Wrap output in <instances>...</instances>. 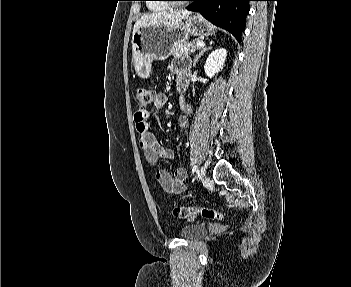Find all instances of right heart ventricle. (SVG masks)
Masks as SVG:
<instances>
[{
  "instance_id": "e07e8e85",
  "label": "right heart ventricle",
  "mask_w": 351,
  "mask_h": 287,
  "mask_svg": "<svg viewBox=\"0 0 351 287\" xmlns=\"http://www.w3.org/2000/svg\"><path fill=\"white\" fill-rule=\"evenodd\" d=\"M150 2H153V3H149L148 4V8L151 10V11H162V10H165L166 9V5H164L163 3H159L157 1H153L151 0Z\"/></svg>"
}]
</instances>
